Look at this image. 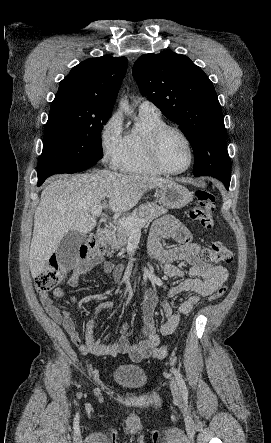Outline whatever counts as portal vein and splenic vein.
Segmentation results:
<instances>
[{"label": "portal vein and splenic vein", "instance_id": "18ae733b", "mask_svg": "<svg viewBox=\"0 0 271 443\" xmlns=\"http://www.w3.org/2000/svg\"><path fill=\"white\" fill-rule=\"evenodd\" d=\"M102 212V204H99V206H93L91 210V214L93 216H101ZM146 220H137V218H121V220H118V225H122V227H143L145 225Z\"/></svg>", "mask_w": 271, "mask_h": 443}]
</instances>
